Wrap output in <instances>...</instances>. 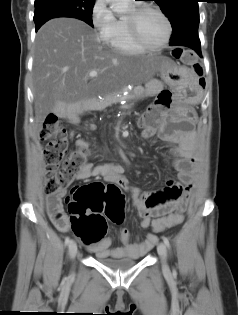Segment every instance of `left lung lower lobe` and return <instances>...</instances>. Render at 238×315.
Instances as JSON below:
<instances>
[{
	"instance_id": "left-lung-lower-lobe-1",
	"label": "left lung lower lobe",
	"mask_w": 238,
	"mask_h": 315,
	"mask_svg": "<svg viewBox=\"0 0 238 315\" xmlns=\"http://www.w3.org/2000/svg\"><path fill=\"white\" fill-rule=\"evenodd\" d=\"M170 45L171 46L190 47L193 50H195L199 56H202L201 55V43L199 40L198 33L185 36V37H183L179 40H176V41H172V42H170Z\"/></svg>"
}]
</instances>
